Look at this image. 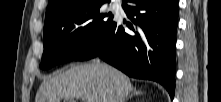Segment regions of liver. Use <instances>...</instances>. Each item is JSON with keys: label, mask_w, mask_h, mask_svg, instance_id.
<instances>
[{"label": "liver", "mask_w": 221, "mask_h": 102, "mask_svg": "<svg viewBox=\"0 0 221 102\" xmlns=\"http://www.w3.org/2000/svg\"><path fill=\"white\" fill-rule=\"evenodd\" d=\"M129 78L100 62L73 66L45 79L35 102H124L132 92Z\"/></svg>", "instance_id": "obj_1"}]
</instances>
